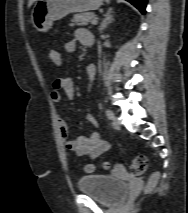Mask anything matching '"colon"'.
<instances>
[{"label":"colon","mask_w":188,"mask_h":213,"mask_svg":"<svg viewBox=\"0 0 188 213\" xmlns=\"http://www.w3.org/2000/svg\"><path fill=\"white\" fill-rule=\"evenodd\" d=\"M59 53L54 49H48V56L51 60H57L59 58ZM105 167L107 168L108 165L106 164ZM147 167V158L143 155L137 156L132 159L129 163L130 172L133 175H141L145 172ZM85 170L87 172H93L95 170V166L92 164H88L85 166ZM153 179L157 178V173H154L152 176Z\"/></svg>","instance_id":"1"}]
</instances>
